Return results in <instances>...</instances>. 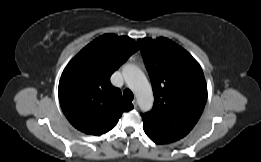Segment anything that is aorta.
<instances>
[{"mask_svg": "<svg viewBox=\"0 0 261 162\" xmlns=\"http://www.w3.org/2000/svg\"><path fill=\"white\" fill-rule=\"evenodd\" d=\"M123 76L136 95L138 105L142 111H149L154 102L151 86L143 71L135 65H126L123 69Z\"/></svg>", "mask_w": 261, "mask_h": 162, "instance_id": "1", "label": "aorta"}]
</instances>
